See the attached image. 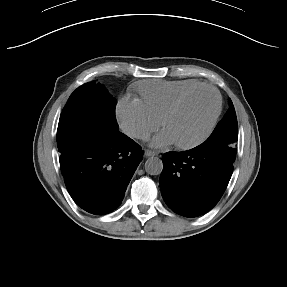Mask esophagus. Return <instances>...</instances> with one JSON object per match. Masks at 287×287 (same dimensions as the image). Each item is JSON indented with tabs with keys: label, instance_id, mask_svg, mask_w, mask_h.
I'll return each instance as SVG.
<instances>
[{
	"label": "esophagus",
	"instance_id": "34e87169",
	"mask_svg": "<svg viewBox=\"0 0 287 287\" xmlns=\"http://www.w3.org/2000/svg\"><path fill=\"white\" fill-rule=\"evenodd\" d=\"M145 157H151L157 155V152L151 151V150H145L144 153Z\"/></svg>",
	"mask_w": 287,
	"mask_h": 287
}]
</instances>
